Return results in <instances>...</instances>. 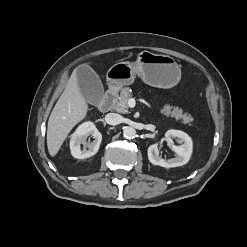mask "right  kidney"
I'll use <instances>...</instances> for the list:
<instances>
[{"label": "right kidney", "instance_id": "right-kidney-1", "mask_svg": "<svg viewBox=\"0 0 247 247\" xmlns=\"http://www.w3.org/2000/svg\"><path fill=\"white\" fill-rule=\"evenodd\" d=\"M92 136L94 141L86 143L88 136ZM102 135L95 127V125L88 121L81 124L72 134L70 140V150L73 157L77 159H85L97 153ZM81 144L84 145L83 149Z\"/></svg>", "mask_w": 247, "mask_h": 247}]
</instances>
